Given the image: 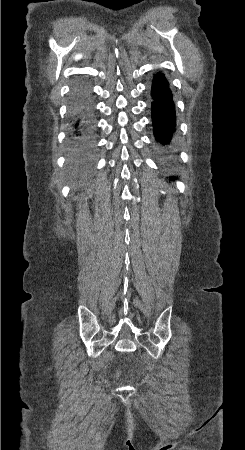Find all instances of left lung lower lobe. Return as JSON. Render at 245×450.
Here are the masks:
<instances>
[{
	"mask_svg": "<svg viewBox=\"0 0 245 450\" xmlns=\"http://www.w3.org/2000/svg\"><path fill=\"white\" fill-rule=\"evenodd\" d=\"M151 96L153 99L152 121L156 139L164 150L171 151L170 144L176 131V111L174 96L164 74L155 75Z\"/></svg>",
	"mask_w": 245,
	"mask_h": 450,
	"instance_id": "1",
	"label": "left lung lower lobe"
}]
</instances>
